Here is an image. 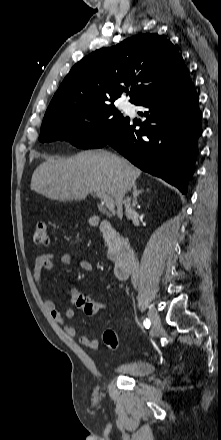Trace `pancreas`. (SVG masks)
<instances>
[{
    "label": "pancreas",
    "mask_w": 221,
    "mask_h": 440,
    "mask_svg": "<svg viewBox=\"0 0 221 440\" xmlns=\"http://www.w3.org/2000/svg\"><path fill=\"white\" fill-rule=\"evenodd\" d=\"M123 255V250L121 247H117L115 249V257L116 259H119Z\"/></svg>",
    "instance_id": "pancreas-1"
}]
</instances>
